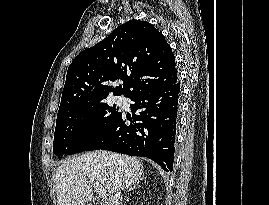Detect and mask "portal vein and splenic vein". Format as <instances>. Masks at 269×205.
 Instances as JSON below:
<instances>
[{
	"label": "portal vein and splenic vein",
	"mask_w": 269,
	"mask_h": 205,
	"mask_svg": "<svg viewBox=\"0 0 269 205\" xmlns=\"http://www.w3.org/2000/svg\"><path fill=\"white\" fill-rule=\"evenodd\" d=\"M93 186L99 198H104L107 196V191L102 185L94 183Z\"/></svg>",
	"instance_id": "18ae733b"
}]
</instances>
